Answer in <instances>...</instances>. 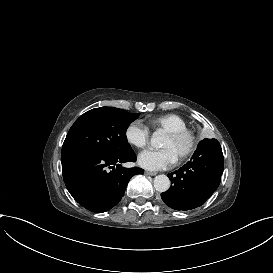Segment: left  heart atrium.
<instances>
[{
  "instance_id": "39dd6f15",
  "label": "left heart atrium",
  "mask_w": 273,
  "mask_h": 273,
  "mask_svg": "<svg viewBox=\"0 0 273 273\" xmlns=\"http://www.w3.org/2000/svg\"><path fill=\"white\" fill-rule=\"evenodd\" d=\"M177 158L169 148L145 149L138 156V164L147 170H159L172 165Z\"/></svg>"
}]
</instances>
